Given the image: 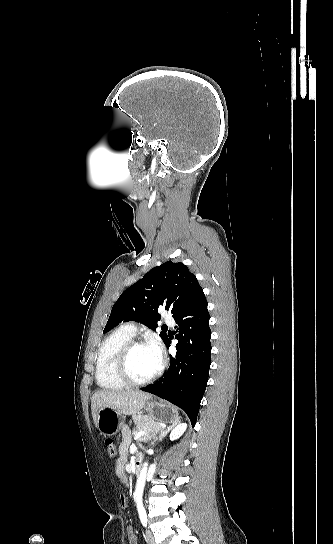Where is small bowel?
Instances as JSON below:
<instances>
[{"label":"small bowel","mask_w":333,"mask_h":544,"mask_svg":"<svg viewBox=\"0 0 333 544\" xmlns=\"http://www.w3.org/2000/svg\"><path fill=\"white\" fill-rule=\"evenodd\" d=\"M122 436H123L122 442H121L120 447H119L120 456L116 461L115 472H116V475H117L118 479L123 484H128V478H127V475H126V472H125V466H126V463H127L128 447H129V444H130V433H129V431L127 429H123ZM120 503H121L122 508H126L127 503H128L127 498L125 496H121L120 497ZM126 533H127L128 543L129 544H137V538H136V536H135V534L133 532L132 527H130V526L127 527Z\"/></svg>","instance_id":"c3829d8e"}]
</instances>
